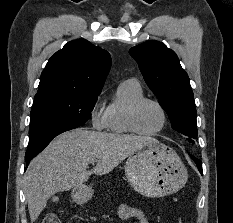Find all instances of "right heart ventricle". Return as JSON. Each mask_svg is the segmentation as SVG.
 <instances>
[{
  "mask_svg": "<svg viewBox=\"0 0 233 223\" xmlns=\"http://www.w3.org/2000/svg\"><path fill=\"white\" fill-rule=\"evenodd\" d=\"M144 97L140 83L136 80L122 82L106 108V128L116 134L133 135L129 124V112L132 105Z\"/></svg>",
  "mask_w": 233,
  "mask_h": 223,
  "instance_id": "e07e8e85",
  "label": "right heart ventricle"
}]
</instances>
